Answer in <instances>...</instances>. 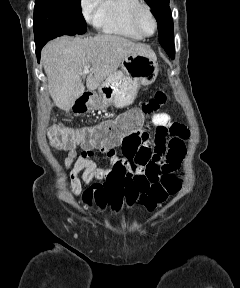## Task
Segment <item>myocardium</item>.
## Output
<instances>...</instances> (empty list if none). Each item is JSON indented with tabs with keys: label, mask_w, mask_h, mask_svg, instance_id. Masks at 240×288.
Instances as JSON below:
<instances>
[{
	"label": "myocardium",
	"mask_w": 240,
	"mask_h": 288,
	"mask_svg": "<svg viewBox=\"0 0 240 288\" xmlns=\"http://www.w3.org/2000/svg\"><path fill=\"white\" fill-rule=\"evenodd\" d=\"M143 10L147 11L150 14L154 22V31L150 35L143 34L140 31L139 26H138V16L140 12ZM129 22H130L131 27L134 29V31H136L142 38H150L154 36L157 33L158 27H159L158 20L153 9L147 3H144V2H139L131 9L130 15H129Z\"/></svg>",
	"instance_id": "myocardium-1"
}]
</instances>
